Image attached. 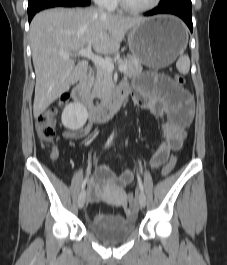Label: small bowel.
Returning <instances> with one entry per match:
<instances>
[{
	"mask_svg": "<svg viewBox=\"0 0 227 265\" xmlns=\"http://www.w3.org/2000/svg\"><path fill=\"white\" fill-rule=\"evenodd\" d=\"M139 78L133 86L126 83L120 87L132 93L133 101L139 107L149 111L152 115L163 117L162 130L164 140L150 159V167L159 168L169 157L172 150L181 147L186 136V128L193 117V101L187 90L177 85L170 77L158 72H140ZM92 129V123L76 130H67L63 133L64 139L74 140L87 136ZM57 150H53V156ZM134 180L132 170H125L117 175L109 167L102 165L89 178L90 203L97 202L103 189L122 191ZM122 215L107 216L95 215L93 221L102 225L116 224L122 221Z\"/></svg>",
	"mask_w": 227,
	"mask_h": 265,
	"instance_id": "c3829d8e",
	"label": "small bowel"
}]
</instances>
